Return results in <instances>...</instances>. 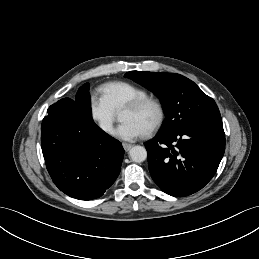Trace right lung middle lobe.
Listing matches in <instances>:
<instances>
[{"instance_id": "dd1d6c3e", "label": "right lung middle lobe", "mask_w": 259, "mask_h": 259, "mask_svg": "<svg viewBox=\"0 0 259 259\" xmlns=\"http://www.w3.org/2000/svg\"><path fill=\"white\" fill-rule=\"evenodd\" d=\"M74 102L85 117L92 119L88 83L79 88L76 94V100Z\"/></svg>"}]
</instances>
